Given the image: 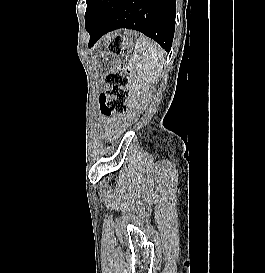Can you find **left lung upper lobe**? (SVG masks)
<instances>
[{"mask_svg":"<svg viewBox=\"0 0 265 273\" xmlns=\"http://www.w3.org/2000/svg\"><path fill=\"white\" fill-rule=\"evenodd\" d=\"M87 2V0H86ZM88 15V4H87V9H86V13H85V17Z\"/></svg>","mask_w":265,"mask_h":273,"instance_id":"1","label":"left lung upper lobe"}]
</instances>
